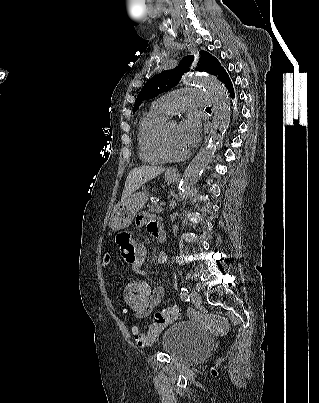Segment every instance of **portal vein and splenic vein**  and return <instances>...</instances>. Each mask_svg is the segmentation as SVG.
Instances as JSON below:
<instances>
[{
	"label": "portal vein and splenic vein",
	"instance_id": "obj_1",
	"mask_svg": "<svg viewBox=\"0 0 319 403\" xmlns=\"http://www.w3.org/2000/svg\"><path fill=\"white\" fill-rule=\"evenodd\" d=\"M160 205H161V206H165L166 203H165L164 201H162V202H160Z\"/></svg>",
	"mask_w": 319,
	"mask_h": 403
}]
</instances>
